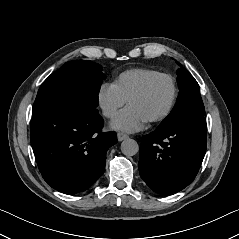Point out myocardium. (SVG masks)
I'll return each instance as SVG.
<instances>
[{
  "label": "myocardium",
  "instance_id": "f54148a6",
  "mask_svg": "<svg viewBox=\"0 0 239 239\" xmlns=\"http://www.w3.org/2000/svg\"><path fill=\"white\" fill-rule=\"evenodd\" d=\"M159 79H166L169 81L170 86H171V96L169 99L168 104L166 105V107L158 114H156L155 116L149 118L147 121L148 122H157L160 121L162 119H164L172 110V107L174 105L175 99H176V94H177V89H176V84L174 79L165 73H158L154 76H152L151 78H149L148 80H146L136 91H134L129 98L127 99V103L130 104L133 100L139 98L140 96H142L147 89L149 88V86L154 83L155 81L159 80Z\"/></svg>",
  "mask_w": 239,
  "mask_h": 239
}]
</instances>
